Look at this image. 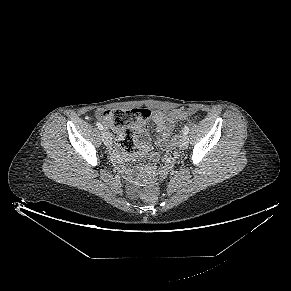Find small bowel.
Returning <instances> with one entry per match:
<instances>
[{
	"instance_id": "obj_1",
	"label": "small bowel",
	"mask_w": 291,
	"mask_h": 291,
	"mask_svg": "<svg viewBox=\"0 0 291 291\" xmlns=\"http://www.w3.org/2000/svg\"><path fill=\"white\" fill-rule=\"evenodd\" d=\"M152 120L155 124L157 139L156 145L162 150H170L173 146L172 133H173V119L163 110H156L152 114ZM135 139L140 145V151L135 155H124L115 152L114 156L118 162H124L129 159L145 158L149 154L150 141L148 135L141 131L136 130ZM150 159L152 164L147 165L134 179L136 184L149 182L155 179L158 175L164 173V171L171 164V156L167 155L161 161L157 155H151Z\"/></svg>"
}]
</instances>
